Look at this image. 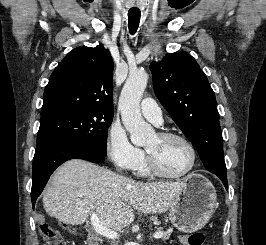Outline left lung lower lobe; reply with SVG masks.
I'll return each mask as SVG.
<instances>
[{
    "label": "left lung lower lobe",
    "instance_id": "left-lung-lower-lobe-1",
    "mask_svg": "<svg viewBox=\"0 0 266 245\" xmlns=\"http://www.w3.org/2000/svg\"><path fill=\"white\" fill-rule=\"evenodd\" d=\"M218 177H219L220 180L223 182V184H224L226 190H228L227 175H226V176H224V175H220V176H218Z\"/></svg>",
    "mask_w": 266,
    "mask_h": 245
}]
</instances>
